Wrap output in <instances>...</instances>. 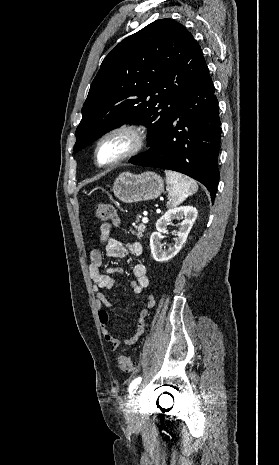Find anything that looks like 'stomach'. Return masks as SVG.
I'll list each match as a JSON object with an SVG mask.
<instances>
[{
	"label": "stomach",
	"mask_w": 279,
	"mask_h": 465,
	"mask_svg": "<svg viewBox=\"0 0 279 465\" xmlns=\"http://www.w3.org/2000/svg\"><path fill=\"white\" fill-rule=\"evenodd\" d=\"M163 188L162 178L154 172H123L115 179L112 191L120 201L134 203L157 198Z\"/></svg>",
	"instance_id": "stomach-1"
}]
</instances>
